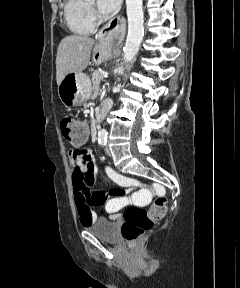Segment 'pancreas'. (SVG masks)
Wrapping results in <instances>:
<instances>
[{
    "mask_svg": "<svg viewBox=\"0 0 240 288\" xmlns=\"http://www.w3.org/2000/svg\"><path fill=\"white\" fill-rule=\"evenodd\" d=\"M92 84L94 91L99 89L100 82L103 80V72L101 70H95L92 75Z\"/></svg>",
    "mask_w": 240,
    "mask_h": 288,
    "instance_id": "cf45deb5",
    "label": "pancreas"
}]
</instances>
